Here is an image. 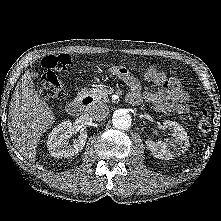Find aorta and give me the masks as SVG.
Instances as JSON below:
<instances>
[{
  "instance_id": "762f6f07",
  "label": "aorta",
  "mask_w": 221,
  "mask_h": 221,
  "mask_svg": "<svg viewBox=\"0 0 221 221\" xmlns=\"http://www.w3.org/2000/svg\"><path fill=\"white\" fill-rule=\"evenodd\" d=\"M112 123L116 129L127 130L131 126L132 116L126 109H118L113 115Z\"/></svg>"
}]
</instances>
